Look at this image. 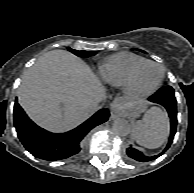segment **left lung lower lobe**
I'll return each instance as SVG.
<instances>
[{"label": "left lung lower lobe", "instance_id": "obj_1", "mask_svg": "<svg viewBox=\"0 0 194 193\" xmlns=\"http://www.w3.org/2000/svg\"><path fill=\"white\" fill-rule=\"evenodd\" d=\"M149 101L160 104L166 108L168 115L170 117L171 125L170 138L165 149L159 155L155 156H145L143 153H141L135 148L132 147L127 148L126 150L127 155L130 158L140 162H147L156 159L157 157L162 155L172 144L177 127V102L172 87L165 86L159 89L154 95H152L149 98Z\"/></svg>", "mask_w": 194, "mask_h": 193}]
</instances>
